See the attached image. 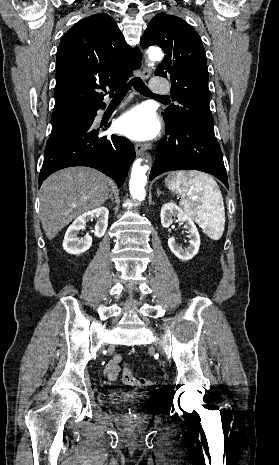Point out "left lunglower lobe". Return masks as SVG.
Masks as SVG:
<instances>
[{"instance_id": "1", "label": "left lung lower lobe", "mask_w": 279, "mask_h": 465, "mask_svg": "<svg viewBox=\"0 0 279 465\" xmlns=\"http://www.w3.org/2000/svg\"><path fill=\"white\" fill-rule=\"evenodd\" d=\"M189 169L212 174L228 188L222 152L215 135L186 123L178 127L166 126V136L158 144L150 180L167 171Z\"/></svg>"}]
</instances>
